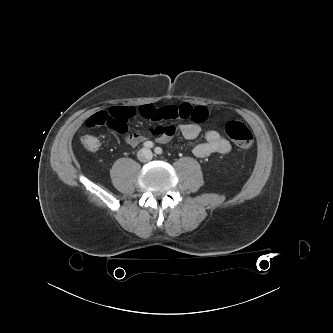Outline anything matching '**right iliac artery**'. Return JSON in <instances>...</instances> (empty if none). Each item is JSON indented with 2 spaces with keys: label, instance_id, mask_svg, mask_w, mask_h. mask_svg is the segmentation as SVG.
<instances>
[{
  "label": "right iliac artery",
  "instance_id": "right-iliac-artery-1",
  "mask_svg": "<svg viewBox=\"0 0 333 333\" xmlns=\"http://www.w3.org/2000/svg\"><path fill=\"white\" fill-rule=\"evenodd\" d=\"M143 146L145 148H153L154 147V143L152 141H146L143 143Z\"/></svg>",
  "mask_w": 333,
  "mask_h": 333
}]
</instances>
